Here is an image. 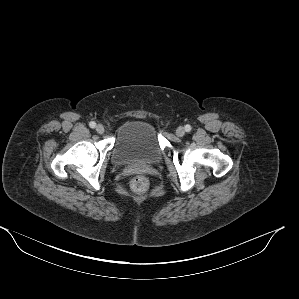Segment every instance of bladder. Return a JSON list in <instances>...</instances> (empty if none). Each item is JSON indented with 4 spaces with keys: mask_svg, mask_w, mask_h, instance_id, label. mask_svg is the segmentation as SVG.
<instances>
[{
    "mask_svg": "<svg viewBox=\"0 0 299 299\" xmlns=\"http://www.w3.org/2000/svg\"><path fill=\"white\" fill-rule=\"evenodd\" d=\"M161 155L155 126L148 120L134 119L125 123L119 130L111 161L118 165L135 162L154 163Z\"/></svg>",
    "mask_w": 299,
    "mask_h": 299,
    "instance_id": "bladder-1",
    "label": "bladder"
}]
</instances>
